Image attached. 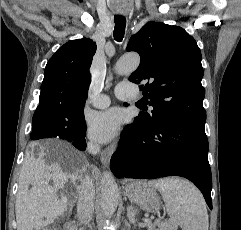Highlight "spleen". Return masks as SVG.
<instances>
[{
  "label": "spleen",
  "instance_id": "3e777b00",
  "mask_svg": "<svg viewBox=\"0 0 241 230\" xmlns=\"http://www.w3.org/2000/svg\"><path fill=\"white\" fill-rule=\"evenodd\" d=\"M149 184L159 190L165 211L182 230H208L204 198L192 183L173 177L153 180Z\"/></svg>",
  "mask_w": 241,
  "mask_h": 230
}]
</instances>
